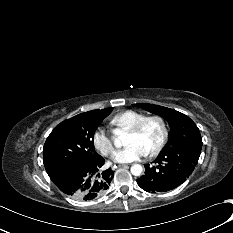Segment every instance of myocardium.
I'll return each instance as SVG.
<instances>
[{
    "instance_id": "1",
    "label": "myocardium",
    "mask_w": 233,
    "mask_h": 233,
    "mask_svg": "<svg viewBox=\"0 0 233 233\" xmlns=\"http://www.w3.org/2000/svg\"><path fill=\"white\" fill-rule=\"evenodd\" d=\"M150 121L158 122L161 128V136H160L158 143L154 146L152 150H150L147 153V156L153 157L157 155L163 149V147L165 146L168 140V126H167L165 119L160 115L146 116L142 120H140L137 124L129 128L128 132L132 134H138L143 130L145 125Z\"/></svg>"
}]
</instances>
